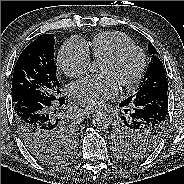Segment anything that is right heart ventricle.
Segmentation results:
<instances>
[{
	"mask_svg": "<svg viewBox=\"0 0 184 184\" xmlns=\"http://www.w3.org/2000/svg\"><path fill=\"white\" fill-rule=\"evenodd\" d=\"M129 45H134V42L127 35L117 31H105L92 38L90 49L93 58L103 60L120 48Z\"/></svg>",
	"mask_w": 184,
	"mask_h": 184,
	"instance_id": "1",
	"label": "right heart ventricle"
}]
</instances>
